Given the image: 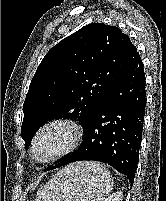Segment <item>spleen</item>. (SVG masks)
<instances>
[{
  "instance_id": "3e777b00",
  "label": "spleen",
  "mask_w": 166,
  "mask_h": 201,
  "mask_svg": "<svg viewBox=\"0 0 166 201\" xmlns=\"http://www.w3.org/2000/svg\"><path fill=\"white\" fill-rule=\"evenodd\" d=\"M112 187V176L102 164L78 161L60 170L37 195L38 201H104Z\"/></svg>"
}]
</instances>
